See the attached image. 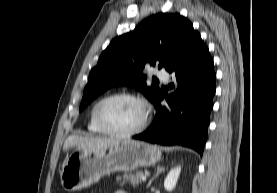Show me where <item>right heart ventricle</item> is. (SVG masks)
I'll return each instance as SVG.
<instances>
[{"label":"right heart ventricle","mask_w":277,"mask_h":193,"mask_svg":"<svg viewBox=\"0 0 277 193\" xmlns=\"http://www.w3.org/2000/svg\"><path fill=\"white\" fill-rule=\"evenodd\" d=\"M98 102H96L89 113V118H88V123H87V129L89 132L93 133V134H101L102 132L100 131V129L96 126L95 121H94V117H93V113H94V108L96 106Z\"/></svg>","instance_id":"1"}]
</instances>
